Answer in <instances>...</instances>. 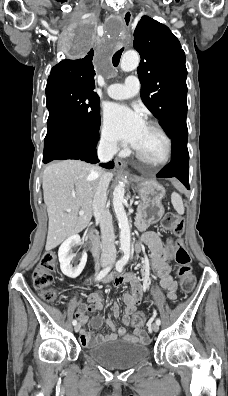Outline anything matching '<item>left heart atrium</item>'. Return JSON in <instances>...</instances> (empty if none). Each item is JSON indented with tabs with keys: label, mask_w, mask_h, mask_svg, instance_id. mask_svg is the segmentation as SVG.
<instances>
[{
	"label": "left heart atrium",
	"mask_w": 228,
	"mask_h": 396,
	"mask_svg": "<svg viewBox=\"0 0 228 396\" xmlns=\"http://www.w3.org/2000/svg\"><path fill=\"white\" fill-rule=\"evenodd\" d=\"M105 125L113 138L135 147L145 127L142 115L122 104H111L104 112Z\"/></svg>",
	"instance_id": "1"
}]
</instances>
